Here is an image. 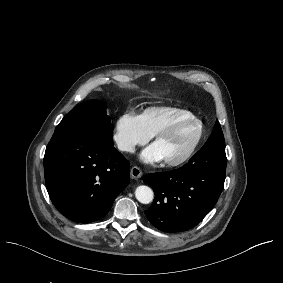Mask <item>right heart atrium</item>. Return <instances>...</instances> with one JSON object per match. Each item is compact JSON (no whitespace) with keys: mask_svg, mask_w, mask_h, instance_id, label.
Masks as SVG:
<instances>
[{"mask_svg":"<svg viewBox=\"0 0 283 283\" xmlns=\"http://www.w3.org/2000/svg\"><path fill=\"white\" fill-rule=\"evenodd\" d=\"M141 116L132 111L120 113L113 121L112 140L121 152L132 153L151 138Z\"/></svg>","mask_w":283,"mask_h":283,"instance_id":"d8ad5b80","label":"right heart atrium"}]
</instances>
